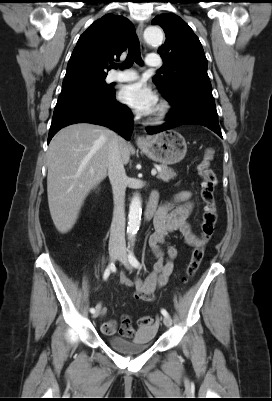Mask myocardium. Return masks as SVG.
<instances>
[{"mask_svg":"<svg viewBox=\"0 0 272 401\" xmlns=\"http://www.w3.org/2000/svg\"><path fill=\"white\" fill-rule=\"evenodd\" d=\"M169 112H170L169 105L165 102H161L155 110L154 116L151 119V123L152 124L163 123L168 117Z\"/></svg>","mask_w":272,"mask_h":401,"instance_id":"myocardium-1","label":"myocardium"}]
</instances>
